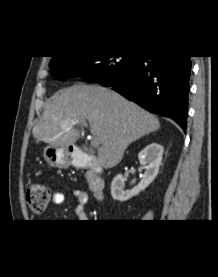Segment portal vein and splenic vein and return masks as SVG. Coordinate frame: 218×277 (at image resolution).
I'll return each mask as SVG.
<instances>
[{"label": "portal vein and splenic vein", "mask_w": 218, "mask_h": 277, "mask_svg": "<svg viewBox=\"0 0 218 277\" xmlns=\"http://www.w3.org/2000/svg\"><path fill=\"white\" fill-rule=\"evenodd\" d=\"M67 124H70L69 127H67V129H70L72 126L76 125L78 123V121H70V122H66ZM84 126H86V122L82 123ZM91 145L94 148H97L100 145V141L97 137H93L92 141H91Z\"/></svg>", "instance_id": "obj_1"}]
</instances>
